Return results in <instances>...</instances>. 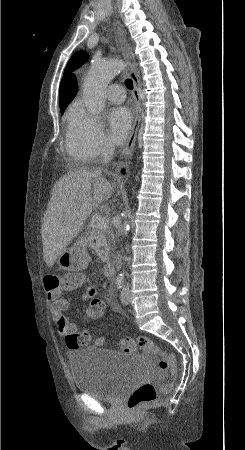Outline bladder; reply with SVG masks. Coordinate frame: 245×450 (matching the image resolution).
<instances>
[{
  "mask_svg": "<svg viewBox=\"0 0 245 450\" xmlns=\"http://www.w3.org/2000/svg\"><path fill=\"white\" fill-rule=\"evenodd\" d=\"M67 358L74 388L99 400L117 401L138 386L147 372L140 356L106 348L76 347Z\"/></svg>",
  "mask_w": 245,
  "mask_h": 450,
  "instance_id": "1",
  "label": "bladder"
}]
</instances>
